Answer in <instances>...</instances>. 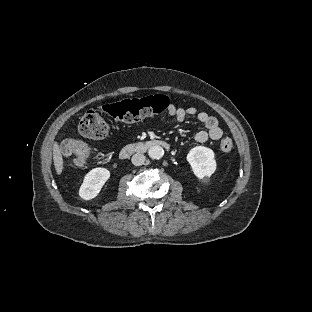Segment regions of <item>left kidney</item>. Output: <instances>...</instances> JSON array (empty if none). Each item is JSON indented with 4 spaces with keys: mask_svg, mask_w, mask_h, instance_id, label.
Masks as SVG:
<instances>
[{
    "mask_svg": "<svg viewBox=\"0 0 312 312\" xmlns=\"http://www.w3.org/2000/svg\"><path fill=\"white\" fill-rule=\"evenodd\" d=\"M186 160L190 164L194 176L199 180H204L205 177L210 178L216 172L218 158L209 147L192 148L188 152Z\"/></svg>",
    "mask_w": 312,
    "mask_h": 312,
    "instance_id": "1",
    "label": "left kidney"
}]
</instances>
